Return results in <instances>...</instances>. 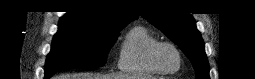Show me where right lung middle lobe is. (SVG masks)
<instances>
[{"instance_id": "obj_1", "label": "right lung middle lobe", "mask_w": 255, "mask_h": 79, "mask_svg": "<svg viewBox=\"0 0 255 79\" xmlns=\"http://www.w3.org/2000/svg\"><path fill=\"white\" fill-rule=\"evenodd\" d=\"M118 36L116 32L59 28L47 56L45 78L68 68H97L107 61V52Z\"/></svg>"}]
</instances>
